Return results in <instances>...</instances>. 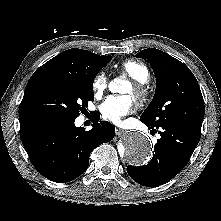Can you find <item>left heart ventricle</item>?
<instances>
[{
	"mask_svg": "<svg viewBox=\"0 0 221 221\" xmlns=\"http://www.w3.org/2000/svg\"><path fill=\"white\" fill-rule=\"evenodd\" d=\"M123 93L132 96V94H133L132 86H128L127 88H125Z\"/></svg>",
	"mask_w": 221,
	"mask_h": 221,
	"instance_id": "obj_1",
	"label": "left heart ventricle"
}]
</instances>
